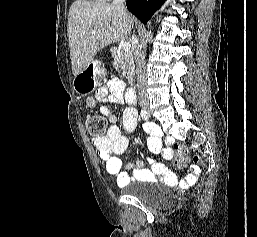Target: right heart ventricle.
Segmentation results:
<instances>
[{"label": "right heart ventricle", "instance_id": "1", "mask_svg": "<svg viewBox=\"0 0 257 237\" xmlns=\"http://www.w3.org/2000/svg\"><path fill=\"white\" fill-rule=\"evenodd\" d=\"M95 1H97V2H103V1H107V0H95Z\"/></svg>", "mask_w": 257, "mask_h": 237}]
</instances>
